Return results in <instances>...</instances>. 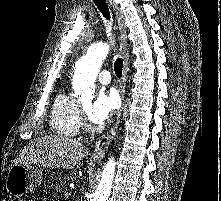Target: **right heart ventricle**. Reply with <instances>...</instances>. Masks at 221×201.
<instances>
[{"instance_id":"obj_1","label":"right heart ventricle","mask_w":221,"mask_h":201,"mask_svg":"<svg viewBox=\"0 0 221 201\" xmlns=\"http://www.w3.org/2000/svg\"><path fill=\"white\" fill-rule=\"evenodd\" d=\"M51 127L59 135L72 137L81 127V106L79 101L65 91L60 92L52 106Z\"/></svg>"}]
</instances>
